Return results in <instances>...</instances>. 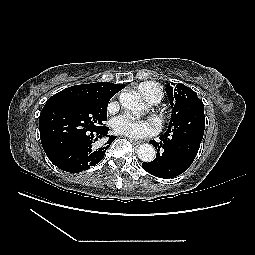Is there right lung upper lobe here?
Returning <instances> with one entry per match:
<instances>
[{
  "mask_svg": "<svg viewBox=\"0 0 255 255\" xmlns=\"http://www.w3.org/2000/svg\"><path fill=\"white\" fill-rule=\"evenodd\" d=\"M125 87L123 84L98 82L92 84H82L66 88L53 95L49 100L59 98L70 99H111L117 92Z\"/></svg>",
  "mask_w": 255,
  "mask_h": 255,
  "instance_id": "obj_1",
  "label": "right lung upper lobe"
}]
</instances>
